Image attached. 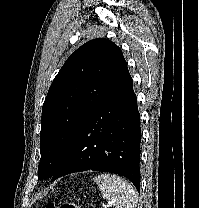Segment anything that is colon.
Listing matches in <instances>:
<instances>
[{
    "label": "colon",
    "instance_id": "colon-1",
    "mask_svg": "<svg viewBox=\"0 0 199 208\" xmlns=\"http://www.w3.org/2000/svg\"><path fill=\"white\" fill-rule=\"evenodd\" d=\"M46 208H86V207H81L80 205L71 202V201H67V202H63L59 205L50 202L46 205Z\"/></svg>",
    "mask_w": 199,
    "mask_h": 208
}]
</instances>
